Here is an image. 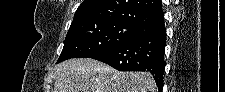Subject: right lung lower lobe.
<instances>
[{"instance_id":"1","label":"right lung lower lobe","mask_w":225,"mask_h":92,"mask_svg":"<svg viewBox=\"0 0 225 92\" xmlns=\"http://www.w3.org/2000/svg\"><path fill=\"white\" fill-rule=\"evenodd\" d=\"M165 45L166 29L162 25L148 29L132 40L98 53L92 58L119 71H149L162 92Z\"/></svg>"}]
</instances>
